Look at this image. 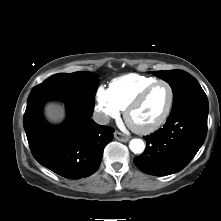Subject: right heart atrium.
<instances>
[{
    "mask_svg": "<svg viewBox=\"0 0 221 221\" xmlns=\"http://www.w3.org/2000/svg\"><path fill=\"white\" fill-rule=\"evenodd\" d=\"M95 111L101 123H107L111 118H117L120 108L115 103L109 88L100 86L95 94Z\"/></svg>",
    "mask_w": 221,
    "mask_h": 221,
    "instance_id": "obj_1",
    "label": "right heart atrium"
}]
</instances>
